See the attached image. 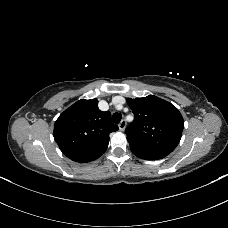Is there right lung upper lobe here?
Segmentation results:
<instances>
[{
  "label": "right lung upper lobe",
  "mask_w": 228,
  "mask_h": 228,
  "mask_svg": "<svg viewBox=\"0 0 228 228\" xmlns=\"http://www.w3.org/2000/svg\"><path fill=\"white\" fill-rule=\"evenodd\" d=\"M117 130L110 112L99 110L97 99H81L56 120L54 139L69 159L88 162L106 151L109 134Z\"/></svg>",
  "instance_id": "right-lung-upper-lobe-1"
}]
</instances>
